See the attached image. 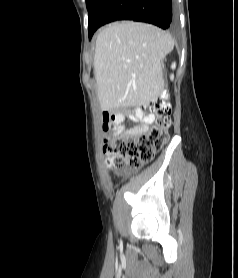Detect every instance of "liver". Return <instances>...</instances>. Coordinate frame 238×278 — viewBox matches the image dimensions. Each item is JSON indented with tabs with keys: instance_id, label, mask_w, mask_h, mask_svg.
Returning a JSON list of instances; mask_svg holds the SVG:
<instances>
[{
	"instance_id": "1",
	"label": "liver",
	"mask_w": 238,
	"mask_h": 278,
	"mask_svg": "<svg viewBox=\"0 0 238 278\" xmlns=\"http://www.w3.org/2000/svg\"><path fill=\"white\" fill-rule=\"evenodd\" d=\"M174 48L171 35L146 23L122 21L100 30L94 75L102 110L140 107L162 93V60Z\"/></svg>"
}]
</instances>
